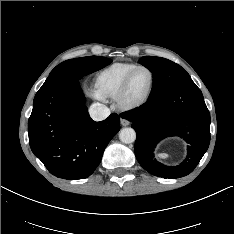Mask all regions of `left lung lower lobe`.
Masks as SVG:
<instances>
[{"mask_svg": "<svg viewBox=\"0 0 234 234\" xmlns=\"http://www.w3.org/2000/svg\"><path fill=\"white\" fill-rule=\"evenodd\" d=\"M121 116L131 121L136 131L138 162L155 176L173 179L188 175L208 149L210 114L191 78L149 97L144 105ZM167 136H181L189 143L186 160L179 166H165L154 157V147Z\"/></svg>", "mask_w": 234, "mask_h": 234, "instance_id": "1", "label": "left lung lower lobe"}]
</instances>
